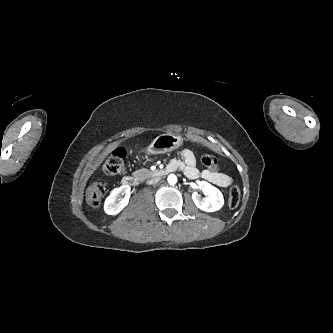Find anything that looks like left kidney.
Returning a JSON list of instances; mask_svg holds the SVG:
<instances>
[{
    "instance_id": "left-kidney-1",
    "label": "left kidney",
    "mask_w": 333,
    "mask_h": 333,
    "mask_svg": "<svg viewBox=\"0 0 333 333\" xmlns=\"http://www.w3.org/2000/svg\"><path fill=\"white\" fill-rule=\"evenodd\" d=\"M198 185L207 197L201 198L197 192H194L192 194V199L195 205L206 212L219 210L224 204V198L221 191L206 181H199Z\"/></svg>"
}]
</instances>
